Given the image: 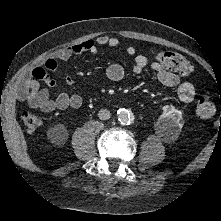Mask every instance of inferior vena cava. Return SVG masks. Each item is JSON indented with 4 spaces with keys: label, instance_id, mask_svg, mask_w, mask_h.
<instances>
[{
    "label": "inferior vena cava",
    "instance_id": "1",
    "mask_svg": "<svg viewBox=\"0 0 221 221\" xmlns=\"http://www.w3.org/2000/svg\"><path fill=\"white\" fill-rule=\"evenodd\" d=\"M98 117L101 120H108L111 117V113L107 109H101L98 113Z\"/></svg>",
    "mask_w": 221,
    "mask_h": 221
}]
</instances>
